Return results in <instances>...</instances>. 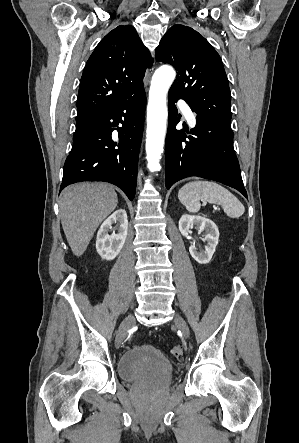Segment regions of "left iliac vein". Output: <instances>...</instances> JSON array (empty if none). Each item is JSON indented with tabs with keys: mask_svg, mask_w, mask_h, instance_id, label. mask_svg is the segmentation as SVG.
Wrapping results in <instances>:
<instances>
[{
	"mask_svg": "<svg viewBox=\"0 0 299 443\" xmlns=\"http://www.w3.org/2000/svg\"><path fill=\"white\" fill-rule=\"evenodd\" d=\"M174 323L177 326V328L182 332L183 336L186 339H188L190 337V331L184 319L177 314L175 315Z\"/></svg>",
	"mask_w": 299,
	"mask_h": 443,
	"instance_id": "obj_1",
	"label": "left iliac vein"
}]
</instances>
